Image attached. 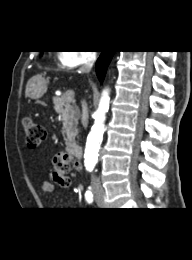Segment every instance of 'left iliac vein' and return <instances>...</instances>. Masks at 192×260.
I'll use <instances>...</instances> for the list:
<instances>
[{"mask_svg":"<svg viewBox=\"0 0 192 260\" xmlns=\"http://www.w3.org/2000/svg\"><path fill=\"white\" fill-rule=\"evenodd\" d=\"M96 203L99 207L105 206V199L102 192H98L95 196Z\"/></svg>","mask_w":192,"mask_h":260,"instance_id":"4c4485c4","label":"left iliac vein"}]
</instances>
